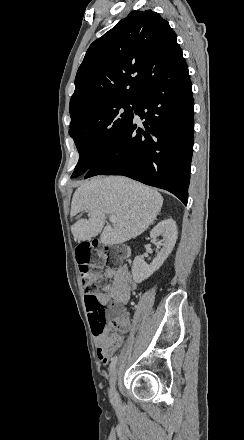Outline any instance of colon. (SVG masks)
Returning a JSON list of instances; mask_svg holds the SVG:
<instances>
[{
	"label": "colon",
	"mask_w": 244,
	"mask_h": 440,
	"mask_svg": "<svg viewBox=\"0 0 244 440\" xmlns=\"http://www.w3.org/2000/svg\"><path fill=\"white\" fill-rule=\"evenodd\" d=\"M97 244V242L95 243ZM123 248H102L93 245L92 242L85 244L79 248H75L74 255L77 261L76 269L81 271L82 275L87 274L88 271H95V273L112 272L114 267H121L123 258ZM105 257H108L107 259ZM85 285V302L83 305V312L88 313L89 319H107L116 332L123 331L127 326L128 313L124 310L123 305L113 304H97L96 295L98 293V286L103 283V280L94 277H83Z\"/></svg>",
	"instance_id": "obj_1"
}]
</instances>
